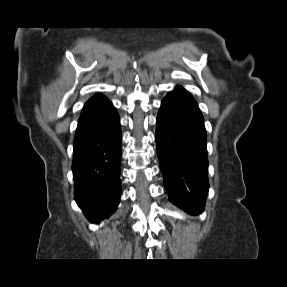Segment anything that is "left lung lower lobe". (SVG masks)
<instances>
[{"mask_svg":"<svg viewBox=\"0 0 287 287\" xmlns=\"http://www.w3.org/2000/svg\"><path fill=\"white\" fill-rule=\"evenodd\" d=\"M156 146L170 201L190 214L201 213L209 189L206 130L197 102L181 87L162 100Z\"/></svg>","mask_w":287,"mask_h":287,"instance_id":"left-lung-lower-lobe-1","label":"left lung lower lobe"}]
</instances>
